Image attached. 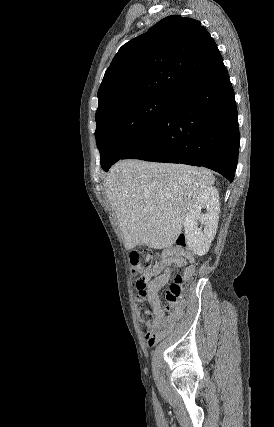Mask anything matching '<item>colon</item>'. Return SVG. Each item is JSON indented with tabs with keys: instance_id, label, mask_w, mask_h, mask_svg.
<instances>
[{
	"instance_id": "1",
	"label": "colon",
	"mask_w": 274,
	"mask_h": 427,
	"mask_svg": "<svg viewBox=\"0 0 274 427\" xmlns=\"http://www.w3.org/2000/svg\"><path fill=\"white\" fill-rule=\"evenodd\" d=\"M189 244V233L183 231L180 235L175 236V247L183 248ZM131 263L134 266V276L140 277L138 282L134 283V288L138 289L139 295L147 294V280L149 278V260L142 256V251H133V257H131ZM188 279L186 273L176 272L173 281L168 285L165 291V299L167 303L174 304L181 296L182 292L187 287ZM155 309L151 302L140 299L137 302V321L140 329L144 332L145 336H151V347H152V335L154 333L153 319Z\"/></svg>"
}]
</instances>
